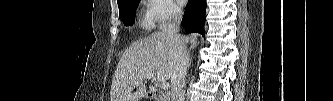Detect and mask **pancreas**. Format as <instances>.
I'll return each mask as SVG.
<instances>
[{
    "label": "pancreas",
    "instance_id": "cf45deb5",
    "mask_svg": "<svg viewBox=\"0 0 333 101\" xmlns=\"http://www.w3.org/2000/svg\"><path fill=\"white\" fill-rule=\"evenodd\" d=\"M160 101H169V95L161 94L160 95Z\"/></svg>",
    "mask_w": 333,
    "mask_h": 101
}]
</instances>
